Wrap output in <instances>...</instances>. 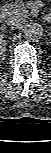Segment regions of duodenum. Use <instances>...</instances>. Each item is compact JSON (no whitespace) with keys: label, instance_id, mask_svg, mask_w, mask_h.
Returning <instances> with one entry per match:
<instances>
[{"label":"duodenum","instance_id":"duodenum-1","mask_svg":"<svg viewBox=\"0 0 51 153\" xmlns=\"http://www.w3.org/2000/svg\"><path fill=\"white\" fill-rule=\"evenodd\" d=\"M5 16H6L5 10H1V11H0V19H1V20L4 19Z\"/></svg>","mask_w":51,"mask_h":153}]
</instances>
